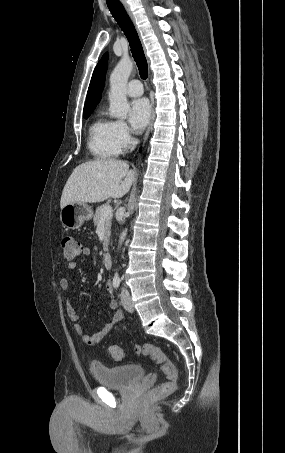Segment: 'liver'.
I'll return each instance as SVG.
<instances>
[{
  "label": "liver",
  "mask_w": 285,
  "mask_h": 453,
  "mask_svg": "<svg viewBox=\"0 0 285 453\" xmlns=\"http://www.w3.org/2000/svg\"><path fill=\"white\" fill-rule=\"evenodd\" d=\"M135 171L127 162L98 159L77 166L68 178L60 207L74 202H102L109 197L121 198L131 188Z\"/></svg>",
  "instance_id": "liver-1"
}]
</instances>
